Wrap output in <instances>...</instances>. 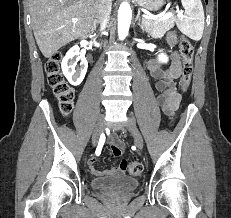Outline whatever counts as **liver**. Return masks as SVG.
Wrapping results in <instances>:
<instances>
[{"label":"liver","instance_id":"obj_1","mask_svg":"<svg viewBox=\"0 0 231 218\" xmlns=\"http://www.w3.org/2000/svg\"><path fill=\"white\" fill-rule=\"evenodd\" d=\"M29 8L37 45L46 58L94 30L96 0H29Z\"/></svg>","mask_w":231,"mask_h":218}]
</instances>
